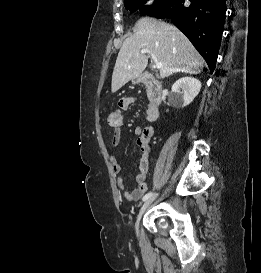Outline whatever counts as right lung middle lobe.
<instances>
[{
  "mask_svg": "<svg viewBox=\"0 0 261 273\" xmlns=\"http://www.w3.org/2000/svg\"><path fill=\"white\" fill-rule=\"evenodd\" d=\"M146 1L147 0H124L125 8L132 13L139 9L141 12L149 16H153L155 13L166 7L173 0H155L154 5L142 7V5L146 3Z\"/></svg>",
  "mask_w": 261,
  "mask_h": 273,
  "instance_id": "dd1d6c3e",
  "label": "right lung middle lobe"
}]
</instances>
